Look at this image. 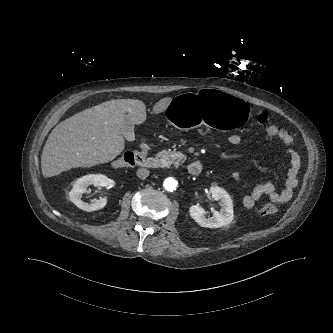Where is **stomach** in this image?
I'll list each match as a JSON object with an SVG mask.
<instances>
[{
  "mask_svg": "<svg viewBox=\"0 0 333 333\" xmlns=\"http://www.w3.org/2000/svg\"><path fill=\"white\" fill-rule=\"evenodd\" d=\"M166 109L170 122L179 128L193 127L200 120L217 131L239 130L251 118V109L245 100L216 92L178 95Z\"/></svg>",
  "mask_w": 333,
  "mask_h": 333,
  "instance_id": "1",
  "label": "stomach"
}]
</instances>
